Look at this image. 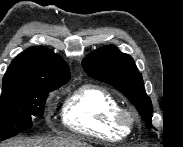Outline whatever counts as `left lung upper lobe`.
Wrapping results in <instances>:
<instances>
[{
  "mask_svg": "<svg viewBox=\"0 0 183 147\" xmlns=\"http://www.w3.org/2000/svg\"><path fill=\"white\" fill-rule=\"evenodd\" d=\"M89 76L108 83L122 92L136 106L146 126L152 128V102L146 94L142 75L134 60L114 45L101 47L82 61Z\"/></svg>",
  "mask_w": 183,
  "mask_h": 147,
  "instance_id": "left-lung-upper-lobe-1",
  "label": "left lung upper lobe"
}]
</instances>
